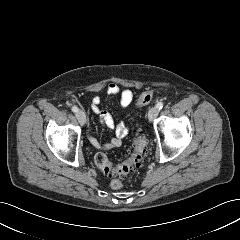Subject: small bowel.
Returning a JSON list of instances; mask_svg holds the SVG:
<instances>
[{
  "label": "small bowel",
  "instance_id": "small-bowel-1",
  "mask_svg": "<svg viewBox=\"0 0 240 240\" xmlns=\"http://www.w3.org/2000/svg\"><path fill=\"white\" fill-rule=\"evenodd\" d=\"M106 92L111 96H119L121 108L128 107L133 100V93L130 89L120 88L115 83H109L106 87ZM101 102L102 100L99 96H94L91 100V110L99 117L102 124L114 131V136L107 142H100L89 132L88 139L98 150L120 147L122 139L129 133V126L123 122L116 124L113 116L101 108Z\"/></svg>",
  "mask_w": 240,
  "mask_h": 240
}]
</instances>
